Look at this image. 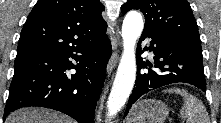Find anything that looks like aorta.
<instances>
[{"mask_svg": "<svg viewBox=\"0 0 221 123\" xmlns=\"http://www.w3.org/2000/svg\"><path fill=\"white\" fill-rule=\"evenodd\" d=\"M144 27L143 18L137 11L126 14L122 24L123 54L108 98V116H115L125 105L136 78V41Z\"/></svg>", "mask_w": 221, "mask_h": 123, "instance_id": "obj_1", "label": "aorta"}]
</instances>
